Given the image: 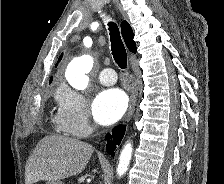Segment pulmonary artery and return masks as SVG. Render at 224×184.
Segmentation results:
<instances>
[{
  "label": "pulmonary artery",
  "instance_id": "1",
  "mask_svg": "<svg viewBox=\"0 0 224 184\" xmlns=\"http://www.w3.org/2000/svg\"><path fill=\"white\" fill-rule=\"evenodd\" d=\"M99 80L103 85L109 86L116 83L117 76L113 69L106 68L99 73Z\"/></svg>",
  "mask_w": 224,
  "mask_h": 184
}]
</instances>
